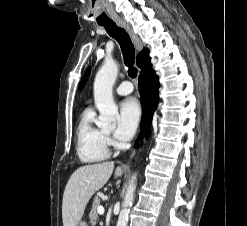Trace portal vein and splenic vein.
<instances>
[{
    "mask_svg": "<svg viewBox=\"0 0 247 226\" xmlns=\"http://www.w3.org/2000/svg\"><path fill=\"white\" fill-rule=\"evenodd\" d=\"M104 207L103 206H99L98 208H97V212L99 213V214H104Z\"/></svg>",
    "mask_w": 247,
    "mask_h": 226,
    "instance_id": "portal-vein-and-splenic-vein-1",
    "label": "portal vein and splenic vein"
}]
</instances>
